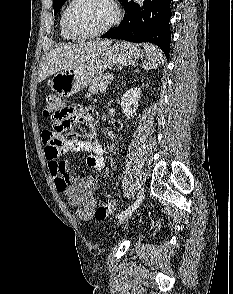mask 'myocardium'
Wrapping results in <instances>:
<instances>
[{
  "label": "myocardium",
  "instance_id": "f54148a6",
  "mask_svg": "<svg viewBox=\"0 0 233 294\" xmlns=\"http://www.w3.org/2000/svg\"><path fill=\"white\" fill-rule=\"evenodd\" d=\"M78 1L79 0H71L63 12L64 29L74 39H90V38H95V37H99L101 35H104L108 31H110L120 20V10H119V7H118L116 1L115 0H103L107 5H109V7L111 8V11H112V16H111L110 20L108 21V23L104 27H102L101 29H99L95 32H91V33H87V34H78V33L74 32L68 24L69 12H70L71 8Z\"/></svg>",
  "mask_w": 233,
  "mask_h": 294
}]
</instances>
